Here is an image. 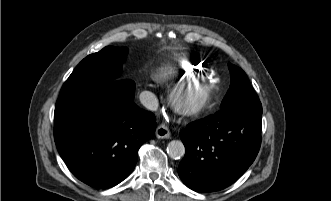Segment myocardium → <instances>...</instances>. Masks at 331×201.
<instances>
[{
    "label": "myocardium",
    "instance_id": "f54148a6",
    "mask_svg": "<svg viewBox=\"0 0 331 201\" xmlns=\"http://www.w3.org/2000/svg\"><path fill=\"white\" fill-rule=\"evenodd\" d=\"M195 84L202 88L203 91L201 96L192 103H181L177 98L178 93L182 89L191 87ZM215 94L216 87L207 79H189L187 82L174 84L169 90L168 99L176 112L184 116H194L207 109V107L212 103Z\"/></svg>",
    "mask_w": 331,
    "mask_h": 201
}]
</instances>
